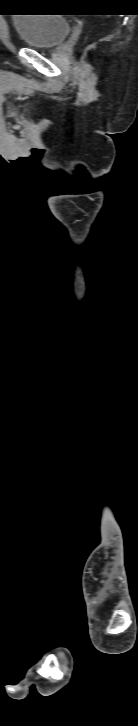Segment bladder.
<instances>
[{
  "instance_id": "1",
  "label": "bladder",
  "mask_w": 138,
  "mask_h": 726,
  "mask_svg": "<svg viewBox=\"0 0 138 726\" xmlns=\"http://www.w3.org/2000/svg\"><path fill=\"white\" fill-rule=\"evenodd\" d=\"M58 14H21L12 20L23 45L32 48H54L71 30V23Z\"/></svg>"
}]
</instances>
